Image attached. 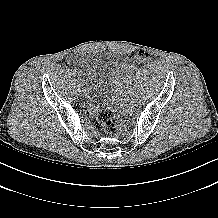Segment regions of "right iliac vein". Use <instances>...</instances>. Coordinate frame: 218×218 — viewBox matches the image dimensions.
Instances as JSON below:
<instances>
[{
	"label": "right iliac vein",
	"mask_w": 218,
	"mask_h": 218,
	"mask_svg": "<svg viewBox=\"0 0 218 218\" xmlns=\"http://www.w3.org/2000/svg\"><path fill=\"white\" fill-rule=\"evenodd\" d=\"M78 79L80 80V78H79V77H78ZM81 85H82V84H81V80H80L79 87H81Z\"/></svg>",
	"instance_id": "1"
}]
</instances>
